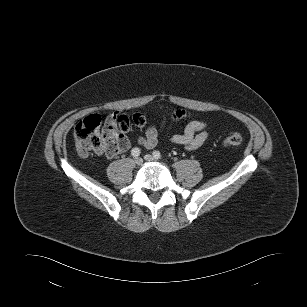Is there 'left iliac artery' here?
<instances>
[{"mask_svg":"<svg viewBox=\"0 0 307 307\" xmlns=\"http://www.w3.org/2000/svg\"><path fill=\"white\" fill-rule=\"evenodd\" d=\"M153 156H154V158H156V159H161V154H160L159 151H154V152H153Z\"/></svg>","mask_w":307,"mask_h":307,"instance_id":"left-iliac-artery-1","label":"left iliac artery"}]
</instances>
